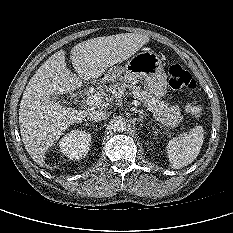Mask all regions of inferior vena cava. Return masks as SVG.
Here are the masks:
<instances>
[{
    "label": "inferior vena cava",
    "mask_w": 233,
    "mask_h": 233,
    "mask_svg": "<svg viewBox=\"0 0 233 233\" xmlns=\"http://www.w3.org/2000/svg\"><path fill=\"white\" fill-rule=\"evenodd\" d=\"M106 118V113L102 110H92L88 114V119L91 121L99 122Z\"/></svg>",
    "instance_id": "inferior-vena-cava-1"
}]
</instances>
